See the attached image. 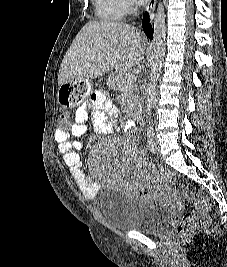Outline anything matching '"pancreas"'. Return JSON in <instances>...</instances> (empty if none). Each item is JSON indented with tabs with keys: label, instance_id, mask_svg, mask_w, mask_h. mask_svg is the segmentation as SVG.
Masks as SVG:
<instances>
[{
	"label": "pancreas",
	"instance_id": "obj_1",
	"mask_svg": "<svg viewBox=\"0 0 227 267\" xmlns=\"http://www.w3.org/2000/svg\"><path fill=\"white\" fill-rule=\"evenodd\" d=\"M131 73L128 71H116L109 77V85L118 90L124 91V89H128V105H136L138 103V87L135 85V81H132L130 77Z\"/></svg>",
	"mask_w": 227,
	"mask_h": 267
}]
</instances>
